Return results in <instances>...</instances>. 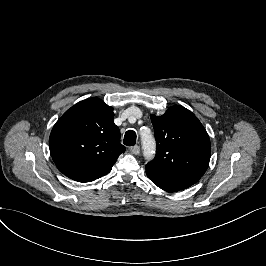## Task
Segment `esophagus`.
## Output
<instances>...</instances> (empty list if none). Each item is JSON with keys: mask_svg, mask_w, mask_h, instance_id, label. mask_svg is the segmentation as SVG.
I'll return each mask as SVG.
<instances>
[{"mask_svg": "<svg viewBox=\"0 0 266 266\" xmlns=\"http://www.w3.org/2000/svg\"><path fill=\"white\" fill-rule=\"evenodd\" d=\"M130 152L134 155H138L140 153V148L139 146H134V147H131L130 149Z\"/></svg>", "mask_w": 266, "mask_h": 266, "instance_id": "esophagus-1", "label": "esophagus"}]
</instances>
